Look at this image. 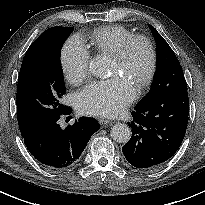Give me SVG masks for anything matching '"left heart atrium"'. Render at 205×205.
<instances>
[{"label": "left heart atrium", "instance_id": "obj_1", "mask_svg": "<svg viewBox=\"0 0 205 205\" xmlns=\"http://www.w3.org/2000/svg\"><path fill=\"white\" fill-rule=\"evenodd\" d=\"M137 89L128 78L115 76L94 81L83 88L75 99L79 113L96 116H117L136 98Z\"/></svg>", "mask_w": 205, "mask_h": 205}]
</instances>
